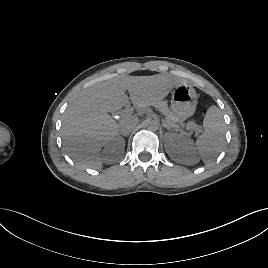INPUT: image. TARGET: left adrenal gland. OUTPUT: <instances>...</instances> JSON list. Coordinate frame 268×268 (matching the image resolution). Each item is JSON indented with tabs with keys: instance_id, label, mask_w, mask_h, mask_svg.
<instances>
[{
	"instance_id": "obj_1",
	"label": "left adrenal gland",
	"mask_w": 268,
	"mask_h": 268,
	"mask_svg": "<svg viewBox=\"0 0 268 268\" xmlns=\"http://www.w3.org/2000/svg\"><path fill=\"white\" fill-rule=\"evenodd\" d=\"M163 127L166 128L167 130H171V128L165 123H163Z\"/></svg>"
}]
</instances>
